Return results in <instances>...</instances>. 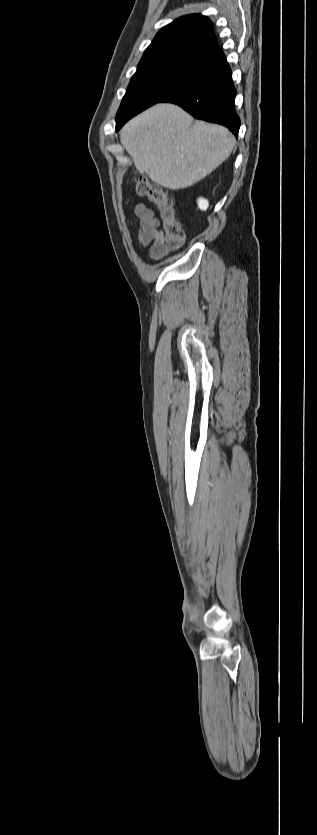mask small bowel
Segmentation results:
<instances>
[{
	"label": "small bowel",
	"mask_w": 317,
	"mask_h": 835,
	"mask_svg": "<svg viewBox=\"0 0 317 835\" xmlns=\"http://www.w3.org/2000/svg\"><path fill=\"white\" fill-rule=\"evenodd\" d=\"M134 213L139 219L138 241L142 246H150L149 255L152 258H159L163 254L158 251V245L162 239L163 232L159 230V220L154 212L143 203H135Z\"/></svg>",
	"instance_id": "obj_1"
}]
</instances>
